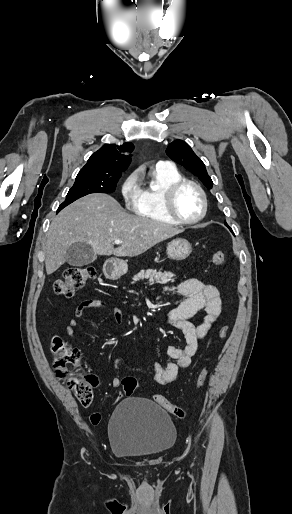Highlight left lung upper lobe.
<instances>
[{
    "mask_svg": "<svg viewBox=\"0 0 292 514\" xmlns=\"http://www.w3.org/2000/svg\"><path fill=\"white\" fill-rule=\"evenodd\" d=\"M166 154L170 157V159L182 165L192 174L197 176L208 189H212L213 181L208 175L204 163L199 157L196 156V154L186 142L182 140L173 141L168 145ZM224 224L233 233L228 224L226 222H224Z\"/></svg>",
    "mask_w": 292,
    "mask_h": 514,
    "instance_id": "left-lung-upper-lobe-1",
    "label": "left lung upper lobe"
}]
</instances>
